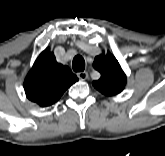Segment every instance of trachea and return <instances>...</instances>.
I'll return each instance as SVG.
<instances>
[{
    "instance_id": "obj_1",
    "label": "trachea",
    "mask_w": 165,
    "mask_h": 156,
    "mask_svg": "<svg viewBox=\"0 0 165 156\" xmlns=\"http://www.w3.org/2000/svg\"><path fill=\"white\" fill-rule=\"evenodd\" d=\"M72 67L75 72H83L85 69V60L82 56L77 55L74 57Z\"/></svg>"
}]
</instances>
